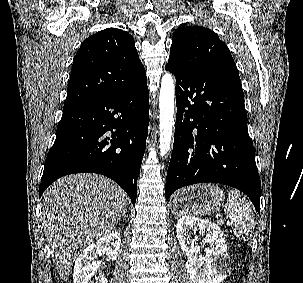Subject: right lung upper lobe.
Listing matches in <instances>:
<instances>
[{
	"label": "right lung upper lobe",
	"mask_w": 303,
	"mask_h": 283,
	"mask_svg": "<svg viewBox=\"0 0 303 283\" xmlns=\"http://www.w3.org/2000/svg\"><path fill=\"white\" fill-rule=\"evenodd\" d=\"M144 79L132 36L107 28L85 39L77 51L63 111L123 92Z\"/></svg>",
	"instance_id": "obj_1"
}]
</instances>
